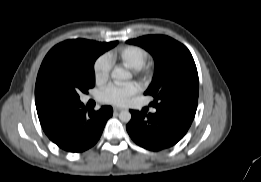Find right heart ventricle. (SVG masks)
<instances>
[{
  "label": "right heart ventricle",
  "mask_w": 261,
  "mask_h": 182,
  "mask_svg": "<svg viewBox=\"0 0 261 182\" xmlns=\"http://www.w3.org/2000/svg\"><path fill=\"white\" fill-rule=\"evenodd\" d=\"M117 56L126 67L135 69L146 63L148 52L137 45H126L118 50Z\"/></svg>",
  "instance_id": "obj_1"
}]
</instances>
